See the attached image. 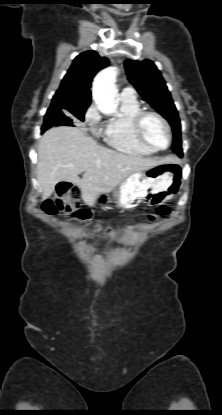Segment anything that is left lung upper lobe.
<instances>
[{
    "instance_id": "obj_1",
    "label": "left lung upper lobe",
    "mask_w": 222,
    "mask_h": 415,
    "mask_svg": "<svg viewBox=\"0 0 222 415\" xmlns=\"http://www.w3.org/2000/svg\"><path fill=\"white\" fill-rule=\"evenodd\" d=\"M125 69L138 93L170 123L174 133L172 150L181 156L180 119L160 71L150 60L139 62L128 59L125 61Z\"/></svg>"
}]
</instances>
